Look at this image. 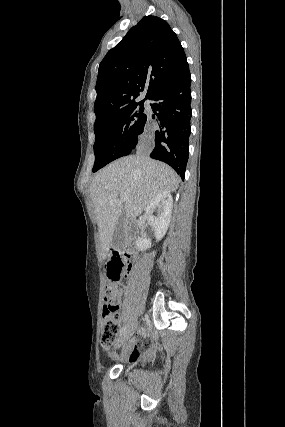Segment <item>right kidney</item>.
I'll use <instances>...</instances> for the list:
<instances>
[{"instance_id": "obj_1", "label": "right kidney", "mask_w": 285, "mask_h": 427, "mask_svg": "<svg viewBox=\"0 0 285 427\" xmlns=\"http://www.w3.org/2000/svg\"><path fill=\"white\" fill-rule=\"evenodd\" d=\"M173 207V199L170 193L164 192L154 197L145 208L148 224L154 229L155 238L160 241L167 232ZM157 212V216L153 213ZM137 247L140 251L151 247V240L146 237L138 238Z\"/></svg>"}]
</instances>
